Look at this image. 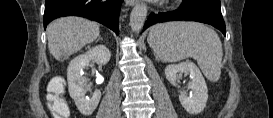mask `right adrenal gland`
I'll return each mask as SVG.
<instances>
[{
  "mask_svg": "<svg viewBox=\"0 0 273 118\" xmlns=\"http://www.w3.org/2000/svg\"><path fill=\"white\" fill-rule=\"evenodd\" d=\"M99 40H102V37H101V36L98 37L97 42H98Z\"/></svg>",
  "mask_w": 273,
  "mask_h": 118,
  "instance_id": "obj_1",
  "label": "right adrenal gland"
}]
</instances>
